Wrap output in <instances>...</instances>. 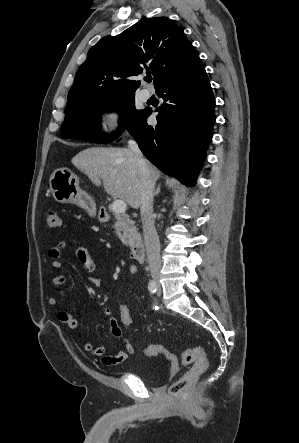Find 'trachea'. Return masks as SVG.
<instances>
[{
  "label": "trachea",
  "mask_w": 299,
  "mask_h": 443,
  "mask_svg": "<svg viewBox=\"0 0 299 443\" xmlns=\"http://www.w3.org/2000/svg\"><path fill=\"white\" fill-rule=\"evenodd\" d=\"M146 81H147L148 83H150V82L152 81V78H147Z\"/></svg>",
  "instance_id": "obj_1"
}]
</instances>
